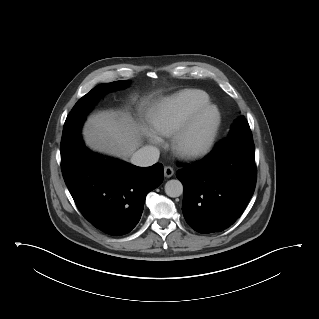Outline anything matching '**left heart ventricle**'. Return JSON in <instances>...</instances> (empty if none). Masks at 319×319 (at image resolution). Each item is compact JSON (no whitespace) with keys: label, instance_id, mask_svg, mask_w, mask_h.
<instances>
[{"label":"left heart ventricle","instance_id":"left-heart-ventricle-1","mask_svg":"<svg viewBox=\"0 0 319 319\" xmlns=\"http://www.w3.org/2000/svg\"><path fill=\"white\" fill-rule=\"evenodd\" d=\"M217 116L214 110L210 109L207 112H205L202 117L199 119L196 129L193 134V141L194 142H200L202 141L214 123L216 122Z\"/></svg>","mask_w":319,"mask_h":319}]
</instances>
